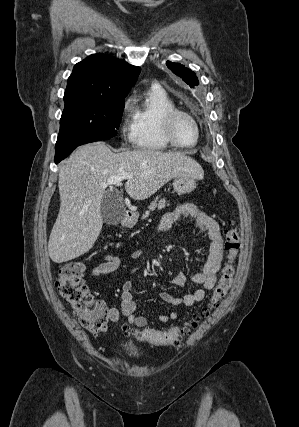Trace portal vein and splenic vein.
<instances>
[{
    "label": "portal vein and splenic vein",
    "mask_w": 299,
    "mask_h": 427,
    "mask_svg": "<svg viewBox=\"0 0 299 427\" xmlns=\"http://www.w3.org/2000/svg\"><path fill=\"white\" fill-rule=\"evenodd\" d=\"M133 178V175L130 173H120L115 177H112L111 179L108 180L107 183L103 184V187H106L108 185H121L122 181L125 179H130Z\"/></svg>",
    "instance_id": "18ae733b"
}]
</instances>
